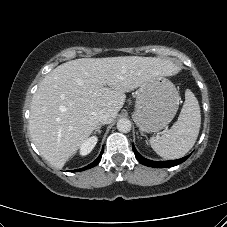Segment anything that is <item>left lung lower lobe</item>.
<instances>
[{
	"label": "left lung lower lobe",
	"instance_id": "obj_1",
	"mask_svg": "<svg viewBox=\"0 0 227 227\" xmlns=\"http://www.w3.org/2000/svg\"><path fill=\"white\" fill-rule=\"evenodd\" d=\"M133 151L135 153V156L137 157V159L144 165L149 166V167H155V168H166V167H173L176 166L178 164L183 163L185 160L188 159V156H185L181 159H177V160H171V161H151L148 160L144 157H142L137 150L135 149L134 145H133Z\"/></svg>",
	"mask_w": 227,
	"mask_h": 227
}]
</instances>
